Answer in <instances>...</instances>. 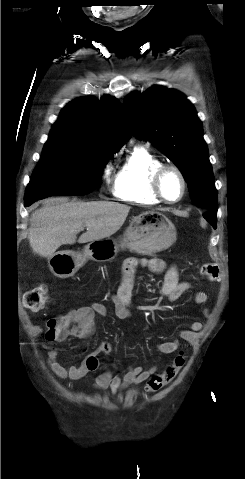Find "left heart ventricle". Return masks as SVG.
I'll return each instance as SVG.
<instances>
[{
  "label": "left heart ventricle",
  "instance_id": "1",
  "mask_svg": "<svg viewBox=\"0 0 245 479\" xmlns=\"http://www.w3.org/2000/svg\"><path fill=\"white\" fill-rule=\"evenodd\" d=\"M163 192L170 200H175L181 193V183L176 174L170 172L163 180Z\"/></svg>",
  "mask_w": 245,
  "mask_h": 479
}]
</instances>
